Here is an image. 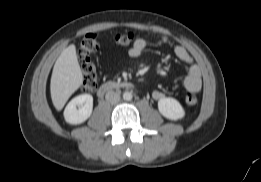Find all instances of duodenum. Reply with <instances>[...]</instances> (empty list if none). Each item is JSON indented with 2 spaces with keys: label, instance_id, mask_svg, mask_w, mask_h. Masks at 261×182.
I'll return each instance as SVG.
<instances>
[{
  "label": "duodenum",
  "instance_id": "duodenum-1",
  "mask_svg": "<svg viewBox=\"0 0 261 182\" xmlns=\"http://www.w3.org/2000/svg\"><path fill=\"white\" fill-rule=\"evenodd\" d=\"M132 85L130 83H123V82H106L100 85L97 89V95L99 97H103L106 95L108 92H110L113 89H118V88H129Z\"/></svg>",
  "mask_w": 261,
  "mask_h": 182
}]
</instances>
